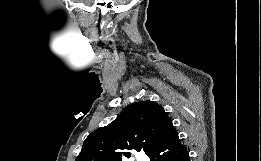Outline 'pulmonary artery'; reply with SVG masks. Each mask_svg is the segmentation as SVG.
Listing matches in <instances>:
<instances>
[{
    "mask_svg": "<svg viewBox=\"0 0 261 161\" xmlns=\"http://www.w3.org/2000/svg\"><path fill=\"white\" fill-rule=\"evenodd\" d=\"M137 160H138V161H149L148 157L143 156V155L138 156Z\"/></svg>",
    "mask_w": 261,
    "mask_h": 161,
    "instance_id": "e3ab8cb5",
    "label": "pulmonary artery"
}]
</instances>
